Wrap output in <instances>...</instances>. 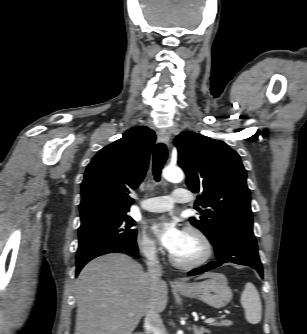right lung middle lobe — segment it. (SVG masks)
<instances>
[{"mask_svg":"<svg viewBox=\"0 0 307 334\" xmlns=\"http://www.w3.org/2000/svg\"><path fill=\"white\" fill-rule=\"evenodd\" d=\"M135 221L127 213L102 212L81 217L76 263L107 250L136 246Z\"/></svg>","mask_w":307,"mask_h":334,"instance_id":"dd1d6c3e","label":"right lung middle lobe"}]
</instances>
